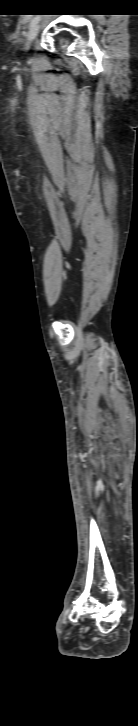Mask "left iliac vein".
I'll return each instance as SVG.
<instances>
[{
  "label": "left iliac vein",
  "instance_id": "1",
  "mask_svg": "<svg viewBox=\"0 0 138 726\" xmlns=\"http://www.w3.org/2000/svg\"><path fill=\"white\" fill-rule=\"evenodd\" d=\"M38 31H39L38 23H36L30 27L28 34H27L26 49L29 48L32 41L36 38Z\"/></svg>",
  "mask_w": 138,
  "mask_h": 726
}]
</instances>
